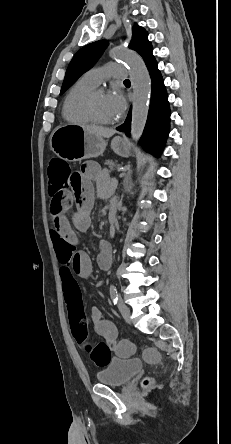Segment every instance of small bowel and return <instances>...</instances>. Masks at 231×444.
<instances>
[{
    "label": "small bowel",
    "mask_w": 231,
    "mask_h": 444,
    "mask_svg": "<svg viewBox=\"0 0 231 444\" xmlns=\"http://www.w3.org/2000/svg\"><path fill=\"white\" fill-rule=\"evenodd\" d=\"M114 190L115 183L107 172L93 162H86L77 173L76 180L69 190L63 191L59 208L57 210L50 208L51 238L58 261L62 264L60 277L67 297L80 294L74 275L88 277L91 273V260L86 252L77 247V237L71 223L80 231L86 230L91 224L90 211L95 192L99 197L107 198ZM72 206L74 211L69 219L67 212ZM111 261L112 248L108 242L103 241L100 244L97 262L102 269L107 270ZM90 318L98 335L108 342L116 341V327L103 317L98 308L90 309Z\"/></svg>",
    "instance_id": "1"
}]
</instances>
